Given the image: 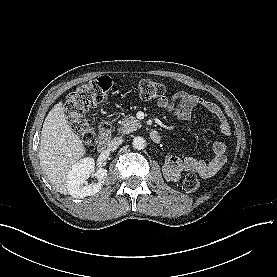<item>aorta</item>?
Here are the masks:
<instances>
[{
	"label": "aorta",
	"mask_w": 277,
	"mask_h": 277,
	"mask_svg": "<svg viewBox=\"0 0 277 277\" xmlns=\"http://www.w3.org/2000/svg\"><path fill=\"white\" fill-rule=\"evenodd\" d=\"M132 145H133L134 149L142 150L146 147L147 143H146V140L143 137L137 136L133 139Z\"/></svg>",
	"instance_id": "762f6f07"
}]
</instances>
